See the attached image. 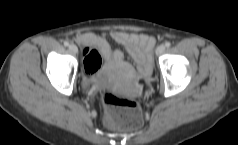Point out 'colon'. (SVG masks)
Returning <instances> with one entry per match:
<instances>
[{
	"label": "colon",
	"instance_id": "5ec220e1",
	"mask_svg": "<svg viewBox=\"0 0 238 145\" xmlns=\"http://www.w3.org/2000/svg\"><path fill=\"white\" fill-rule=\"evenodd\" d=\"M101 65V57L93 48L84 50V68L88 74L95 73ZM105 106L107 122L118 129L133 130L138 128L143 119L142 110L135 100L119 97L109 91L101 93Z\"/></svg>",
	"mask_w": 238,
	"mask_h": 145
}]
</instances>
